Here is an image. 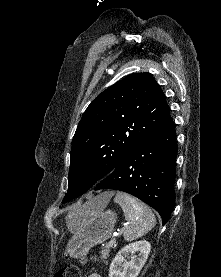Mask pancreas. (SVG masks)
<instances>
[{
  "label": "pancreas",
  "mask_w": 221,
  "mask_h": 277,
  "mask_svg": "<svg viewBox=\"0 0 221 277\" xmlns=\"http://www.w3.org/2000/svg\"><path fill=\"white\" fill-rule=\"evenodd\" d=\"M108 255H109V249H107V248H104L102 251H101V259H107V257H108Z\"/></svg>",
  "instance_id": "pancreas-1"
}]
</instances>
